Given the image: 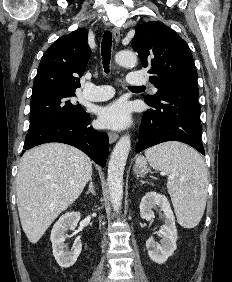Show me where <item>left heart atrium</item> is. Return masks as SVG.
I'll return each mask as SVG.
<instances>
[{
    "instance_id": "obj_1",
    "label": "left heart atrium",
    "mask_w": 232,
    "mask_h": 282,
    "mask_svg": "<svg viewBox=\"0 0 232 282\" xmlns=\"http://www.w3.org/2000/svg\"><path fill=\"white\" fill-rule=\"evenodd\" d=\"M130 121V107L124 101H116L101 108L98 112V122L104 128L120 129Z\"/></svg>"
}]
</instances>
